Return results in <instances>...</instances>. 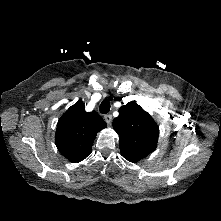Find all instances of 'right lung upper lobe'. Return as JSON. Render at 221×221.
I'll return each mask as SVG.
<instances>
[{
	"instance_id": "cb5924a9",
	"label": "right lung upper lobe",
	"mask_w": 221,
	"mask_h": 221,
	"mask_svg": "<svg viewBox=\"0 0 221 221\" xmlns=\"http://www.w3.org/2000/svg\"><path fill=\"white\" fill-rule=\"evenodd\" d=\"M106 127V122L97 112H86L83 102L78 101L60 117L55 144L68 160L80 162L91 153L97 133Z\"/></svg>"
}]
</instances>
